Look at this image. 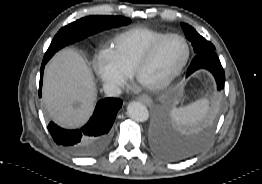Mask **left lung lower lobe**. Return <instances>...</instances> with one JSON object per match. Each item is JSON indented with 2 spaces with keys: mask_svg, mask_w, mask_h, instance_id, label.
<instances>
[{
  "mask_svg": "<svg viewBox=\"0 0 262 184\" xmlns=\"http://www.w3.org/2000/svg\"><path fill=\"white\" fill-rule=\"evenodd\" d=\"M201 68L209 70L214 75L218 90L224 88V70L214 50L196 54L188 68L187 76ZM209 138V132L193 136L178 135L161 111L154 112L149 127L151 149L160 158L172 162L184 160L197 154L206 146Z\"/></svg>",
  "mask_w": 262,
  "mask_h": 184,
  "instance_id": "0a47b994",
  "label": "left lung lower lobe"
}]
</instances>
